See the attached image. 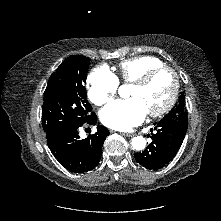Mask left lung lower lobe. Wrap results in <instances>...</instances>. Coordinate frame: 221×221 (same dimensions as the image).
<instances>
[{
  "mask_svg": "<svg viewBox=\"0 0 221 221\" xmlns=\"http://www.w3.org/2000/svg\"><path fill=\"white\" fill-rule=\"evenodd\" d=\"M154 125L156 133L151 134L152 142L143 152L135 153V160L146 169L158 170L175 157L186 135L188 124L181 120L162 119Z\"/></svg>",
  "mask_w": 221,
  "mask_h": 221,
  "instance_id": "1",
  "label": "left lung lower lobe"
}]
</instances>
